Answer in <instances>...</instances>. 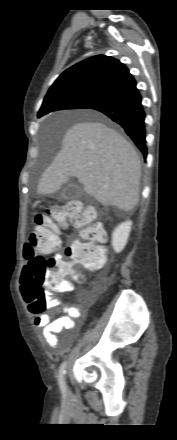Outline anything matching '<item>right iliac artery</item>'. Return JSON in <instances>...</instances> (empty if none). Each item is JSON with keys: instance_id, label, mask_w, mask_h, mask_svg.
Here are the masks:
<instances>
[{"instance_id": "82829eb1", "label": "right iliac artery", "mask_w": 177, "mask_h": 440, "mask_svg": "<svg viewBox=\"0 0 177 440\" xmlns=\"http://www.w3.org/2000/svg\"><path fill=\"white\" fill-rule=\"evenodd\" d=\"M65 373H66V361H64V362L61 364V366H60V368H59V376H58L59 386H60L61 392H62L63 394H66V391H67V389H66V384H65V380H64V375H65Z\"/></svg>"}]
</instances>
